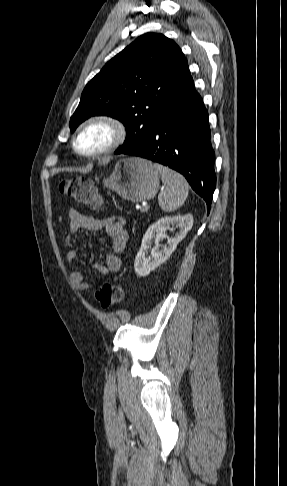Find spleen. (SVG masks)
Here are the masks:
<instances>
[{
    "label": "spleen",
    "mask_w": 287,
    "mask_h": 486,
    "mask_svg": "<svg viewBox=\"0 0 287 486\" xmlns=\"http://www.w3.org/2000/svg\"><path fill=\"white\" fill-rule=\"evenodd\" d=\"M156 168L164 184V189L158 196L159 205L164 212H173L187 199L189 185L186 179L174 170L160 164H156Z\"/></svg>",
    "instance_id": "spleen-1"
}]
</instances>
